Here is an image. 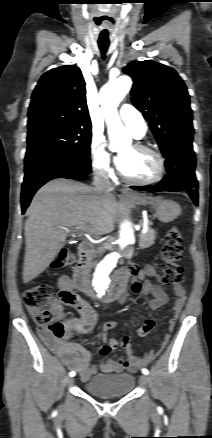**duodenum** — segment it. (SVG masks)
<instances>
[{
  "instance_id": "obj_1",
  "label": "duodenum",
  "mask_w": 212,
  "mask_h": 438,
  "mask_svg": "<svg viewBox=\"0 0 212 438\" xmlns=\"http://www.w3.org/2000/svg\"><path fill=\"white\" fill-rule=\"evenodd\" d=\"M91 250H92V246L89 242H82L79 245V249H78L79 260L74 270V284L77 290L90 296L92 299H97L88 281V269H89ZM123 286H124L123 279L117 274L112 279L110 288L108 290L105 299L109 301L119 299L122 295Z\"/></svg>"
}]
</instances>
